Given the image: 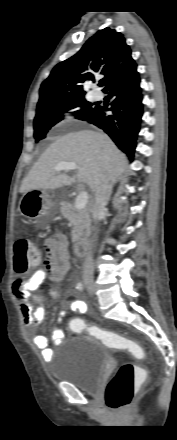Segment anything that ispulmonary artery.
I'll return each instance as SVG.
<instances>
[{
  "instance_id": "e3ab8cb5",
  "label": "pulmonary artery",
  "mask_w": 177,
  "mask_h": 440,
  "mask_svg": "<svg viewBox=\"0 0 177 440\" xmlns=\"http://www.w3.org/2000/svg\"><path fill=\"white\" fill-rule=\"evenodd\" d=\"M102 97H103V95H102L101 92H96V93H94V99H95V100H101Z\"/></svg>"
}]
</instances>
